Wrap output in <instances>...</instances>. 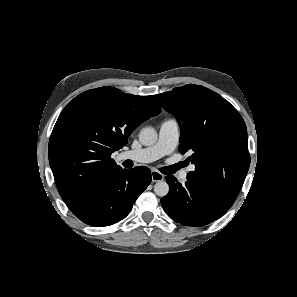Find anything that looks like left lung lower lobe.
<instances>
[{
    "label": "left lung lower lobe",
    "instance_id": "obj_1",
    "mask_svg": "<svg viewBox=\"0 0 297 297\" xmlns=\"http://www.w3.org/2000/svg\"><path fill=\"white\" fill-rule=\"evenodd\" d=\"M169 193L161 199L166 214L186 226H203L222 217L230 208L190 181L185 185L174 176H166Z\"/></svg>",
    "mask_w": 297,
    "mask_h": 297
}]
</instances>
